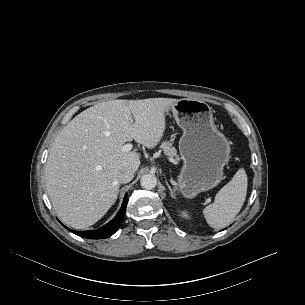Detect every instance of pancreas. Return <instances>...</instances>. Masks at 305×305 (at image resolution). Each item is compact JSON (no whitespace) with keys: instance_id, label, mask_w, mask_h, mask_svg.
I'll return each instance as SVG.
<instances>
[{"instance_id":"obj_1","label":"pancreas","mask_w":305,"mask_h":305,"mask_svg":"<svg viewBox=\"0 0 305 305\" xmlns=\"http://www.w3.org/2000/svg\"><path fill=\"white\" fill-rule=\"evenodd\" d=\"M160 149L164 152L166 156L172 159V162L174 164H178L179 157L177 155V150L174 146H172V142L170 141H164L160 145Z\"/></svg>"}]
</instances>
